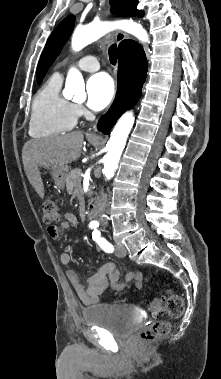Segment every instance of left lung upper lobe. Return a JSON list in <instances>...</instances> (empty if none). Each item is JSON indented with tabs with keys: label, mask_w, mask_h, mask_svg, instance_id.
Here are the masks:
<instances>
[{
	"label": "left lung upper lobe",
	"mask_w": 221,
	"mask_h": 379,
	"mask_svg": "<svg viewBox=\"0 0 221 379\" xmlns=\"http://www.w3.org/2000/svg\"><path fill=\"white\" fill-rule=\"evenodd\" d=\"M137 0H110L112 13L116 16H142L137 10ZM75 23V16L66 17L51 33L40 57L37 67V82L40 84L51 64L55 61L62 47L70 37Z\"/></svg>",
	"instance_id": "left-lung-upper-lobe-1"
}]
</instances>
